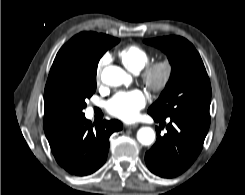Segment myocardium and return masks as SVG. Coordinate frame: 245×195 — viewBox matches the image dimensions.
I'll return each mask as SVG.
<instances>
[{"label": "myocardium", "instance_id": "1", "mask_svg": "<svg viewBox=\"0 0 245 195\" xmlns=\"http://www.w3.org/2000/svg\"><path fill=\"white\" fill-rule=\"evenodd\" d=\"M174 64L169 58L149 63L141 73L142 82L152 92L164 91L172 81Z\"/></svg>", "mask_w": 245, "mask_h": 195}]
</instances>
